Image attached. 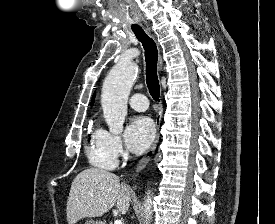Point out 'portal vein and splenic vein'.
Returning a JSON list of instances; mask_svg holds the SVG:
<instances>
[{"instance_id":"1","label":"portal vein and splenic vein","mask_w":275,"mask_h":224,"mask_svg":"<svg viewBox=\"0 0 275 224\" xmlns=\"http://www.w3.org/2000/svg\"><path fill=\"white\" fill-rule=\"evenodd\" d=\"M114 224H123V222L121 220H115Z\"/></svg>"}]
</instances>
